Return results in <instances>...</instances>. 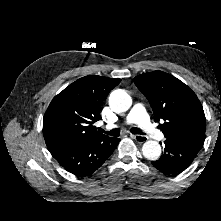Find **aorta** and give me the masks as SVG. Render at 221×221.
<instances>
[{"label":"aorta","mask_w":221,"mask_h":221,"mask_svg":"<svg viewBox=\"0 0 221 221\" xmlns=\"http://www.w3.org/2000/svg\"><path fill=\"white\" fill-rule=\"evenodd\" d=\"M109 105L116 112H125L132 105L130 95L123 89L114 90L109 96ZM143 156L151 161H156L161 155V146L157 141H146L142 146Z\"/></svg>","instance_id":"762f6f07"}]
</instances>
